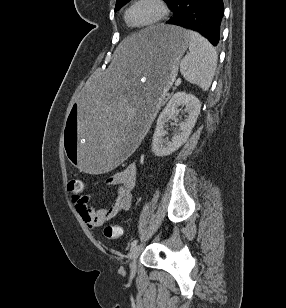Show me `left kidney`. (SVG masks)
<instances>
[{"label":"left kidney","mask_w":286,"mask_h":308,"mask_svg":"<svg viewBox=\"0 0 286 308\" xmlns=\"http://www.w3.org/2000/svg\"><path fill=\"white\" fill-rule=\"evenodd\" d=\"M179 106H185L188 112L184 122L179 123L180 131L172 137V141L165 142V124L170 119L176 121L175 113ZM201 103L198 98L185 92L175 93L157 119L156 129L152 140V151L155 156L163 157L178 150L188 139L200 113Z\"/></svg>","instance_id":"1"}]
</instances>
